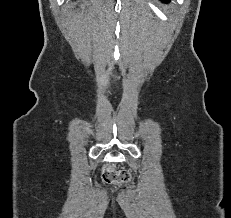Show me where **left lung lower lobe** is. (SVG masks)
<instances>
[{"label": "left lung lower lobe", "mask_w": 231, "mask_h": 218, "mask_svg": "<svg viewBox=\"0 0 231 218\" xmlns=\"http://www.w3.org/2000/svg\"><path fill=\"white\" fill-rule=\"evenodd\" d=\"M161 1H163V2H166V3H167V2H169L170 0H161Z\"/></svg>", "instance_id": "left-lung-lower-lobe-1"}]
</instances>
